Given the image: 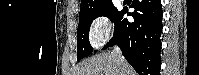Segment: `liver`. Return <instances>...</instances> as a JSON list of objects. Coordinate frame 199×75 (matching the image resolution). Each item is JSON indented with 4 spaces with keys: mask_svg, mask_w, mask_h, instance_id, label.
<instances>
[{
    "mask_svg": "<svg viewBox=\"0 0 199 75\" xmlns=\"http://www.w3.org/2000/svg\"><path fill=\"white\" fill-rule=\"evenodd\" d=\"M76 75H136L125 61H121L114 52H105L83 61Z\"/></svg>",
    "mask_w": 199,
    "mask_h": 75,
    "instance_id": "6515ba94",
    "label": "liver"
}]
</instances>
